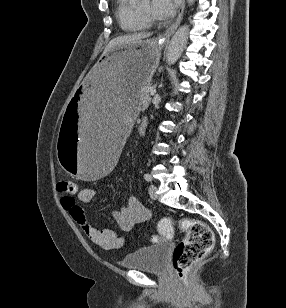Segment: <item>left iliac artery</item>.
Returning a JSON list of instances; mask_svg holds the SVG:
<instances>
[{
	"instance_id": "left-iliac-artery-1",
	"label": "left iliac artery",
	"mask_w": 286,
	"mask_h": 308,
	"mask_svg": "<svg viewBox=\"0 0 286 308\" xmlns=\"http://www.w3.org/2000/svg\"><path fill=\"white\" fill-rule=\"evenodd\" d=\"M144 179H145L146 181H148V182H151V181H152V177H151V175L148 174V173L144 174Z\"/></svg>"
}]
</instances>
